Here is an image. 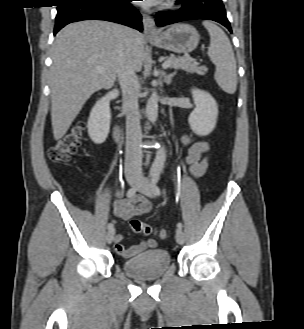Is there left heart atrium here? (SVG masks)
<instances>
[{"label": "left heart atrium", "mask_w": 304, "mask_h": 329, "mask_svg": "<svg viewBox=\"0 0 304 329\" xmlns=\"http://www.w3.org/2000/svg\"><path fill=\"white\" fill-rule=\"evenodd\" d=\"M142 5L144 6H153L159 2V0H142Z\"/></svg>", "instance_id": "obj_1"}]
</instances>
